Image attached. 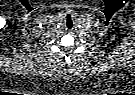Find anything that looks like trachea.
Returning <instances> with one entry per match:
<instances>
[{"mask_svg":"<svg viewBox=\"0 0 135 95\" xmlns=\"http://www.w3.org/2000/svg\"><path fill=\"white\" fill-rule=\"evenodd\" d=\"M65 26H66L68 29H71V28L73 27V21H72L71 17H68V18L66 19Z\"/></svg>","mask_w":135,"mask_h":95,"instance_id":"trachea-1","label":"trachea"}]
</instances>
